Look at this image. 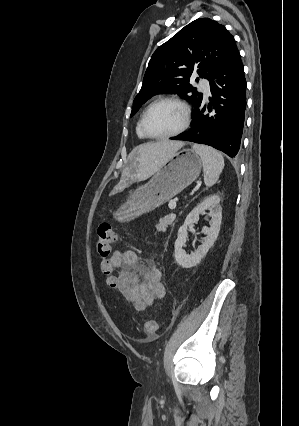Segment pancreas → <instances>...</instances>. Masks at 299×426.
I'll list each match as a JSON object with an SVG mask.
<instances>
[{"label":"pancreas","mask_w":299,"mask_h":426,"mask_svg":"<svg viewBox=\"0 0 299 426\" xmlns=\"http://www.w3.org/2000/svg\"><path fill=\"white\" fill-rule=\"evenodd\" d=\"M174 219L175 217L173 215H167L164 218H161L156 224L157 231L158 232L166 231L168 226H170L173 223Z\"/></svg>","instance_id":"1"}]
</instances>
